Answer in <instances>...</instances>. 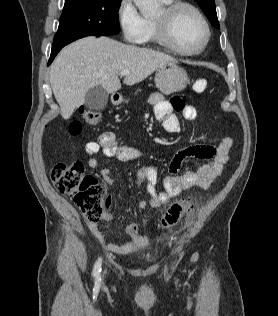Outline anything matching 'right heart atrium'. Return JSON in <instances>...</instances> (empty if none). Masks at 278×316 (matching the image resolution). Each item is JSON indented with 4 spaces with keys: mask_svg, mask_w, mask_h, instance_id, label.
I'll return each mask as SVG.
<instances>
[{
    "mask_svg": "<svg viewBox=\"0 0 278 316\" xmlns=\"http://www.w3.org/2000/svg\"><path fill=\"white\" fill-rule=\"evenodd\" d=\"M117 20L123 38L129 43H139L145 32V18L139 13L132 0H120Z\"/></svg>",
    "mask_w": 278,
    "mask_h": 316,
    "instance_id": "1",
    "label": "right heart atrium"
}]
</instances>
